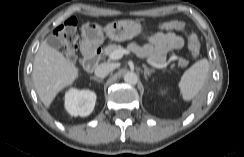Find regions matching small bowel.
<instances>
[{"label": "small bowel", "instance_id": "small-bowel-1", "mask_svg": "<svg viewBox=\"0 0 244 157\" xmlns=\"http://www.w3.org/2000/svg\"><path fill=\"white\" fill-rule=\"evenodd\" d=\"M184 45L183 38L173 32H157L147 38L144 45L131 44L130 48L140 56L146 57L152 54L162 56L171 50L180 49Z\"/></svg>", "mask_w": 244, "mask_h": 157}]
</instances>
